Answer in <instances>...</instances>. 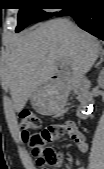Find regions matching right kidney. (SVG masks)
I'll return each instance as SVG.
<instances>
[{
    "mask_svg": "<svg viewBox=\"0 0 104 169\" xmlns=\"http://www.w3.org/2000/svg\"><path fill=\"white\" fill-rule=\"evenodd\" d=\"M103 82H104V69H102L100 71V74H99V77H98V83L102 85Z\"/></svg>",
    "mask_w": 104,
    "mask_h": 169,
    "instance_id": "right-kidney-1",
    "label": "right kidney"
}]
</instances>
